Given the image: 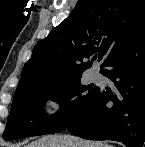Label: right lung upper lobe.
<instances>
[{"instance_id":"cb5924a9","label":"right lung upper lobe","mask_w":145,"mask_h":147,"mask_svg":"<svg viewBox=\"0 0 145 147\" xmlns=\"http://www.w3.org/2000/svg\"><path fill=\"white\" fill-rule=\"evenodd\" d=\"M145 30V0H79L60 25L34 47L15 92L56 87L92 66L99 50L103 67Z\"/></svg>"}]
</instances>
